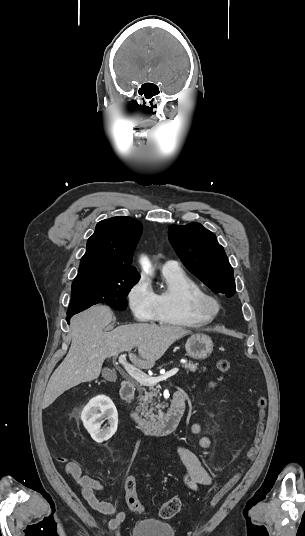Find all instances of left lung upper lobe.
Masks as SVG:
<instances>
[{"instance_id": "5c2ea615", "label": "left lung upper lobe", "mask_w": 305, "mask_h": 536, "mask_svg": "<svg viewBox=\"0 0 305 536\" xmlns=\"http://www.w3.org/2000/svg\"><path fill=\"white\" fill-rule=\"evenodd\" d=\"M168 237L187 269L216 293H235L233 269L216 236L199 223L171 225Z\"/></svg>"}]
</instances>
